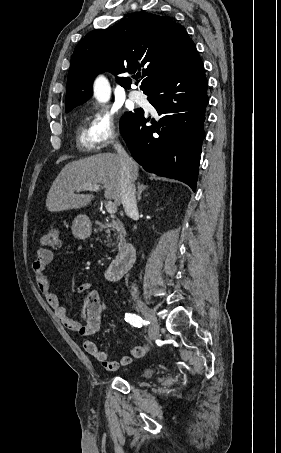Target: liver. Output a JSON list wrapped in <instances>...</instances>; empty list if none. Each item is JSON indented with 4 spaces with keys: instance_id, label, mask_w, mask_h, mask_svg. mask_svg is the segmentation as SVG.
Instances as JSON below:
<instances>
[{
    "instance_id": "liver-1",
    "label": "liver",
    "mask_w": 281,
    "mask_h": 453,
    "mask_svg": "<svg viewBox=\"0 0 281 453\" xmlns=\"http://www.w3.org/2000/svg\"><path fill=\"white\" fill-rule=\"evenodd\" d=\"M139 164L130 162V176L134 182L139 174ZM121 162L114 152H98L86 158L68 162L59 172L47 194L46 206L50 212L83 208L93 200V194H75L78 186L83 184H103L104 196L114 200L120 206L121 198Z\"/></svg>"
}]
</instances>
